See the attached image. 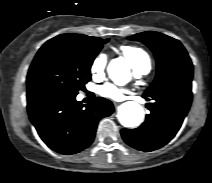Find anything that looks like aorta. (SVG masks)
Masks as SVG:
<instances>
[{
  "label": "aorta",
  "instance_id": "aorta-1",
  "mask_svg": "<svg viewBox=\"0 0 212 183\" xmlns=\"http://www.w3.org/2000/svg\"><path fill=\"white\" fill-rule=\"evenodd\" d=\"M129 64L123 58L113 59L108 65L110 78L116 79L119 74L128 73ZM144 110L136 102L128 101L123 103L118 110V120L124 127H136L143 122Z\"/></svg>",
  "mask_w": 212,
  "mask_h": 183
}]
</instances>
